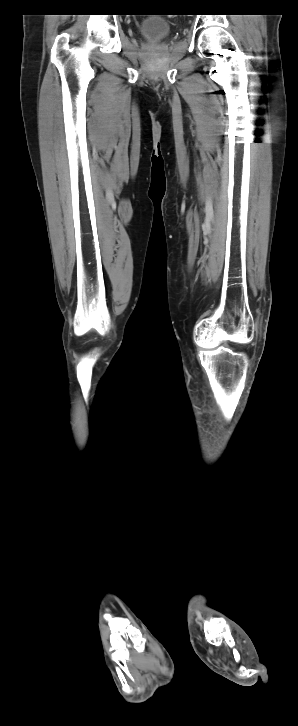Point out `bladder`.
I'll use <instances>...</instances> for the list:
<instances>
[{"label":"bladder","mask_w":298,"mask_h":726,"mask_svg":"<svg viewBox=\"0 0 298 726\" xmlns=\"http://www.w3.org/2000/svg\"><path fill=\"white\" fill-rule=\"evenodd\" d=\"M171 26L168 20L159 16H148L142 19L139 24V32L142 36L152 40H163L170 34Z\"/></svg>","instance_id":"bladder-1"}]
</instances>
